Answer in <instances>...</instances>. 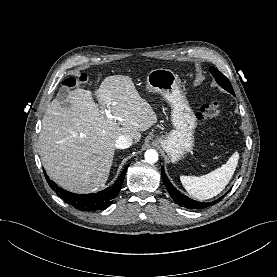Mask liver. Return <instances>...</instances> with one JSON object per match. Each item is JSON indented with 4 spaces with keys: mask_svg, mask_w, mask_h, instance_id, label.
Masks as SVG:
<instances>
[{
    "mask_svg": "<svg viewBox=\"0 0 277 277\" xmlns=\"http://www.w3.org/2000/svg\"><path fill=\"white\" fill-rule=\"evenodd\" d=\"M62 106L58 97L47 106L39 135V154L52 180L75 193L95 192L106 184L122 135L134 143L157 122L152 106L141 97L132 79L106 77L95 91L70 90ZM98 107L121 120L108 119ZM121 125V126H120Z\"/></svg>",
    "mask_w": 277,
    "mask_h": 277,
    "instance_id": "liver-1",
    "label": "liver"
}]
</instances>
